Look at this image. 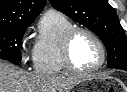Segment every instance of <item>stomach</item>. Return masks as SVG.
<instances>
[{
	"mask_svg": "<svg viewBox=\"0 0 127 92\" xmlns=\"http://www.w3.org/2000/svg\"><path fill=\"white\" fill-rule=\"evenodd\" d=\"M106 85V80L102 79L98 75H91L85 77L80 81L77 91L78 92H102V89Z\"/></svg>",
	"mask_w": 127,
	"mask_h": 92,
	"instance_id": "obj_1",
	"label": "stomach"
}]
</instances>
